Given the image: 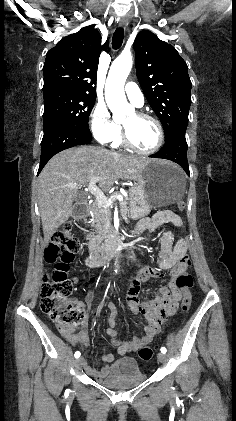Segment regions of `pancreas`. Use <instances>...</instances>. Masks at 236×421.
<instances>
[{"label":"pancreas","mask_w":236,"mask_h":421,"mask_svg":"<svg viewBox=\"0 0 236 421\" xmlns=\"http://www.w3.org/2000/svg\"><path fill=\"white\" fill-rule=\"evenodd\" d=\"M116 194H121L120 190H116ZM128 200L129 198H127V196H123V200H120L119 202L120 213L126 223H129V206H127ZM89 208L91 213H88V215L91 217V227H93L90 231H95V233H90V235H87L86 239L89 241L88 247L90 253H96V251H99L101 243H103V241H105L108 237V235H104L105 231L109 233L112 229L111 211L110 208H104V206L98 204L97 200L92 202Z\"/></svg>","instance_id":"cf45deb5"}]
</instances>
